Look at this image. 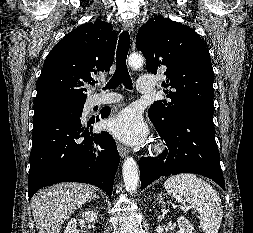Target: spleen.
Here are the masks:
<instances>
[{"instance_id": "obj_1", "label": "spleen", "mask_w": 253, "mask_h": 233, "mask_svg": "<svg viewBox=\"0 0 253 233\" xmlns=\"http://www.w3.org/2000/svg\"><path fill=\"white\" fill-rule=\"evenodd\" d=\"M165 189L184 199L200 215L204 233H218L223 216L221 199L214 188L195 174L171 176L164 183Z\"/></svg>"}]
</instances>
